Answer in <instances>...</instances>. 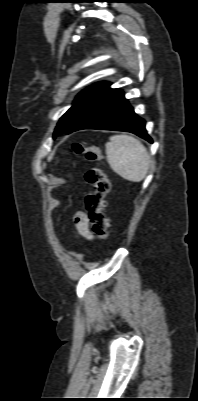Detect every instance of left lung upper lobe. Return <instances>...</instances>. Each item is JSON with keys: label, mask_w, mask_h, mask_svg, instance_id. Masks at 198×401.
<instances>
[{"label": "left lung upper lobe", "mask_w": 198, "mask_h": 401, "mask_svg": "<svg viewBox=\"0 0 198 401\" xmlns=\"http://www.w3.org/2000/svg\"><path fill=\"white\" fill-rule=\"evenodd\" d=\"M108 82L96 83L83 90L75 99L72 107L61 117L53 138L67 131L85 108L105 89Z\"/></svg>", "instance_id": "1"}]
</instances>
